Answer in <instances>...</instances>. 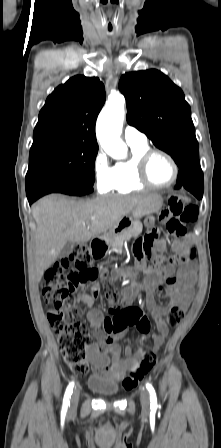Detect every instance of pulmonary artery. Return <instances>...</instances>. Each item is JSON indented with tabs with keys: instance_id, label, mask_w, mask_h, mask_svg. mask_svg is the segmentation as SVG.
<instances>
[{
	"instance_id": "pulmonary-artery-1",
	"label": "pulmonary artery",
	"mask_w": 221,
	"mask_h": 448,
	"mask_svg": "<svg viewBox=\"0 0 221 448\" xmlns=\"http://www.w3.org/2000/svg\"><path fill=\"white\" fill-rule=\"evenodd\" d=\"M124 140L130 146H142L147 144V137L136 127L127 125L123 134Z\"/></svg>"
}]
</instances>
